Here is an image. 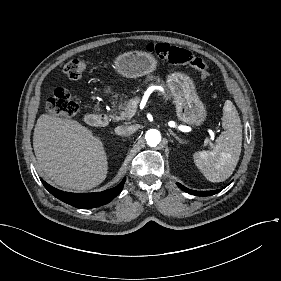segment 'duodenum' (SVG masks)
<instances>
[{"label":"duodenum","mask_w":281,"mask_h":281,"mask_svg":"<svg viewBox=\"0 0 281 281\" xmlns=\"http://www.w3.org/2000/svg\"><path fill=\"white\" fill-rule=\"evenodd\" d=\"M84 120L88 125L91 126H102L106 123L105 117L91 113H87L84 116Z\"/></svg>","instance_id":"1"}]
</instances>
